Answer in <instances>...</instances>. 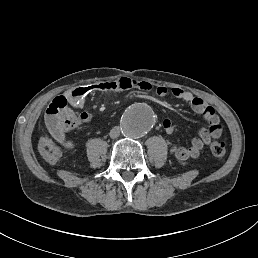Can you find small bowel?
<instances>
[{"instance_id": "small-bowel-1", "label": "small bowel", "mask_w": 258, "mask_h": 258, "mask_svg": "<svg viewBox=\"0 0 258 258\" xmlns=\"http://www.w3.org/2000/svg\"><path fill=\"white\" fill-rule=\"evenodd\" d=\"M129 89H138L141 91L154 90L159 96H166L170 93L175 98L189 103L191 109L207 121L209 126L201 128L198 136L192 139L188 147L179 145L171 147L170 153L178 160L185 161L190 158H196L204 146L208 145L212 140L219 138L222 134L218 114L202 98L194 96L191 92L181 88H172L170 90L162 86L154 88L147 81L127 77L119 78L113 82L80 86L55 97L45 114V123L49 132L61 146L66 149L73 148V142L66 138V129L62 124V115L66 112H71V110H81L84 107L86 97L94 92L124 91ZM81 116L83 117V123L92 121V116L89 113L83 112ZM163 127L167 134H172L177 130V126L170 119L164 120Z\"/></svg>"}]
</instances>
